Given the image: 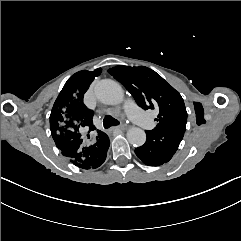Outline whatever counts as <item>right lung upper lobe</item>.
Wrapping results in <instances>:
<instances>
[{
	"instance_id": "1",
	"label": "right lung upper lobe",
	"mask_w": 241,
	"mask_h": 241,
	"mask_svg": "<svg viewBox=\"0 0 241 241\" xmlns=\"http://www.w3.org/2000/svg\"><path fill=\"white\" fill-rule=\"evenodd\" d=\"M101 68L79 71L65 83L57 97L50 115V130L56 146L68 159L78 158V153L103 139L106 134L94 131L93 111L83 103L84 93Z\"/></svg>"
}]
</instances>
